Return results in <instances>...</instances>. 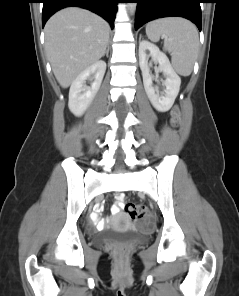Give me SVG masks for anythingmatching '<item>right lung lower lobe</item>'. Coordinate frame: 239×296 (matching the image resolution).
<instances>
[{"label":"right lung lower lobe","instance_id":"1","mask_svg":"<svg viewBox=\"0 0 239 296\" xmlns=\"http://www.w3.org/2000/svg\"><path fill=\"white\" fill-rule=\"evenodd\" d=\"M42 26L58 10L78 6L88 9L108 21L111 27H114L115 14L117 12L116 4L121 0H42Z\"/></svg>","mask_w":239,"mask_h":296}]
</instances>
